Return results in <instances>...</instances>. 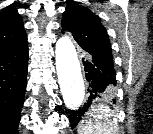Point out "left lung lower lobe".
Masks as SVG:
<instances>
[{
    "instance_id": "left-lung-lower-lobe-1",
    "label": "left lung lower lobe",
    "mask_w": 153,
    "mask_h": 134,
    "mask_svg": "<svg viewBox=\"0 0 153 134\" xmlns=\"http://www.w3.org/2000/svg\"><path fill=\"white\" fill-rule=\"evenodd\" d=\"M82 61L86 71V79L89 83V97L88 101L82 108L77 111H71L70 123L72 128L77 125L90 105L97 98L104 94H112L109 92V89L114 83H116V72L114 67H111L104 61L91 56L88 59L83 58Z\"/></svg>"
}]
</instances>
